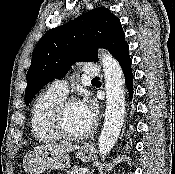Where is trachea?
Here are the masks:
<instances>
[{"label": "trachea", "instance_id": "3493384b", "mask_svg": "<svg viewBox=\"0 0 175 174\" xmlns=\"http://www.w3.org/2000/svg\"><path fill=\"white\" fill-rule=\"evenodd\" d=\"M92 80H93V81H98L99 78H98V77H95V78H93Z\"/></svg>", "mask_w": 175, "mask_h": 174}]
</instances>
